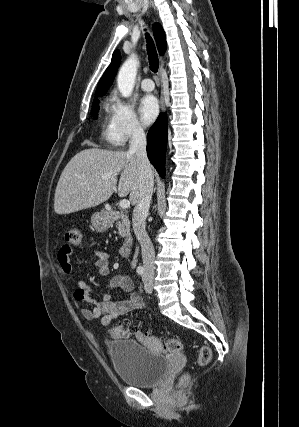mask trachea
<instances>
[{
    "instance_id": "trachea-1",
    "label": "trachea",
    "mask_w": 299,
    "mask_h": 427,
    "mask_svg": "<svg viewBox=\"0 0 299 427\" xmlns=\"http://www.w3.org/2000/svg\"><path fill=\"white\" fill-rule=\"evenodd\" d=\"M146 42L150 69L152 72L157 73L159 69V59L154 42L148 33H146Z\"/></svg>"
}]
</instances>
